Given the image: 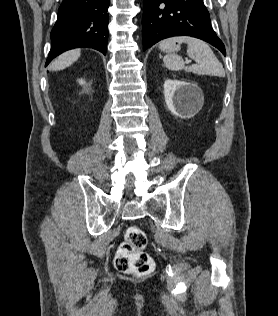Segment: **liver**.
Instances as JSON below:
<instances>
[{
	"label": "liver",
	"instance_id": "1",
	"mask_svg": "<svg viewBox=\"0 0 278 316\" xmlns=\"http://www.w3.org/2000/svg\"><path fill=\"white\" fill-rule=\"evenodd\" d=\"M80 55V49L67 51L60 55L57 59H55V61L51 64L49 69L51 71L63 70L72 65L75 61H77Z\"/></svg>",
	"mask_w": 278,
	"mask_h": 316
}]
</instances>
